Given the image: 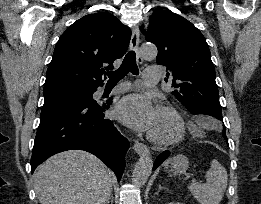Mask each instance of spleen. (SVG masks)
I'll return each instance as SVG.
<instances>
[{
	"instance_id": "3e777b00",
	"label": "spleen",
	"mask_w": 261,
	"mask_h": 204,
	"mask_svg": "<svg viewBox=\"0 0 261 204\" xmlns=\"http://www.w3.org/2000/svg\"><path fill=\"white\" fill-rule=\"evenodd\" d=\"M193 133L196 137H203V131L199 129H195ZM205 177L206 183H193L188 186L189 191L200 204H219L227 187L226 169L213 159Z\"/></svg>"
}]
</instances>
